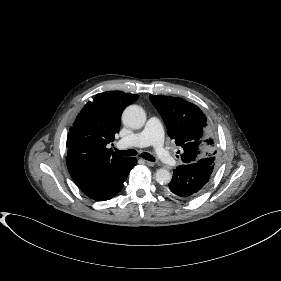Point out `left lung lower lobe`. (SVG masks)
<instances>
[{
    "mask_svg": "<svg viewBox=\"0 0 281 281\" xmlns=\"http://www.w3.org/2000/svg\"><path fill=\"white\" fill-rule=\"evenodd\" d=\"M215 167V158H204L191 164L178 166L168 184L174 196L191 199L197 196L208 184Z\"/></svg>",
    "mask_w": 281,
    "mask_h": 281,
    "instance_id": "obj_1",
    "label": "left lung lower lobe"
}]
</instances>
